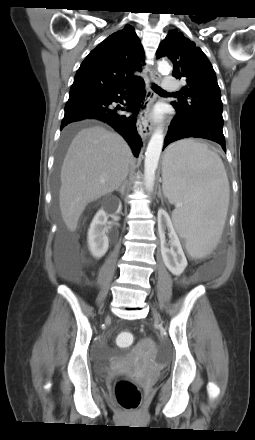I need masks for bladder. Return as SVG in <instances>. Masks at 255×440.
<instances>
[{"instance_id": "1", "label": "bladder", "mask_w": 255, "mask_h": 440, "mask_svg": "<svg viewBox=\"0 0 255 440\" xmlns=\"http://www.w3.org/2000/svg\"><path fill=\"white\" fill-rule=\"evenodd\" d=\"M139 348L142 350H146L148 348V344L145 340L140 341ZM110 363L108 359H100L96 361V373L99 377H104L110 368Z\"/></svg>"}]
</instances>
